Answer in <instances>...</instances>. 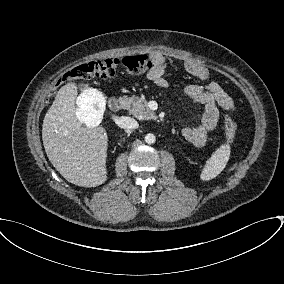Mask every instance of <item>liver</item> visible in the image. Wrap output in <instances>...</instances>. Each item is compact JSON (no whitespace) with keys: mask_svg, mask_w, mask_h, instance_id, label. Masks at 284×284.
<instances>
[{"mask_svg":"<svg viewBox=\"0 0 284 284\" xmlns=\"http://www.w3.org/2000/svg\"><path fill=\"white\" fill-rule=\"evenodd\" d=\"M77 94L75 83L59 89L43 120V145L51 164L68 182L96 187L107 179L108 137L103 127L89 128L77 120Z\"/></svg>","mask_w":284,"mask_h":284,"instance_id":"liver-1","label":"liver"}]
</instances>
